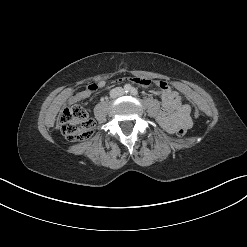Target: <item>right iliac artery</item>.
Listing matches in <instances>:
<instances>
[{
	"instance_id": "1",
	"label": "right iliac artery",
	"mask_w": 247,
	"mask_h": 247,
	"mask_svg": "<svg viewBox=\"0 0 247 247\" xmlns=\"http://www.w3.org/2000/svg\"><path fill=\"white\" fill-rule=\"evenodd\" d=\"M124 90H125L126 93L130 92L131 91V86L130 85H125L124 86Z\"/></svg>"
}]
</instances>
